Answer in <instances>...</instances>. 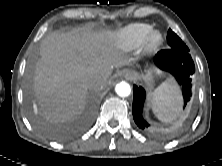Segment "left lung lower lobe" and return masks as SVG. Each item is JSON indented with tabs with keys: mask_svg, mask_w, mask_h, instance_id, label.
<instances>
[{
	"mask_svg": "<svg viewBox=\"0 0 222 166\" xmlns=\"http://www.w3.org/2000/svg\"><path fill=\"white\" fill-rule=\"evenodd\" d=\"M154 62L161 70L171 73L178 84L182 86L184 106H186L192 95L191 77L195 73V65L189 51L174 48L161 50L156 54ZM133 93L132 113L134 121L140 129L146 130L149 124L142 116L146 98L145 90L141 86L134 85Z\"/></svg>",
	"mask_w": 222,
	"mask_h": 166,
	"instance_id": "obj_1",
	"label": "left lung lower lobe"
}]
</instances>
